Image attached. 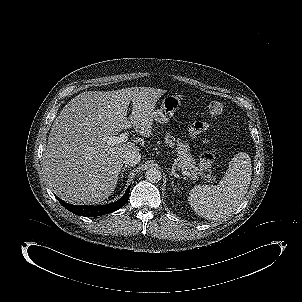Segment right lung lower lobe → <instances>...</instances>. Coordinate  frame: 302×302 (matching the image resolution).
<instances>
[{"label": "right lung lower lobe", "mask_w": 302, "mask_h": 302, "mask_svg": "<svg viewBox=\"0 0 302 302\" xmlns=\"http://www.w3.org/2000/svg\"><path fill=\"white\" fill-rule=\"evenodd\" d=\"M129 191L130 186L127 188L124 196L119 199L118 201L107 204V205H99V206H77V205H71L60 198L57 197L58 201L69 211L72 213L79 215V216H85V217H95V216H101L113 211H116L120 209L129 199Z\"/></svg>", "instance_id": "obj_1"}]
</instances>
